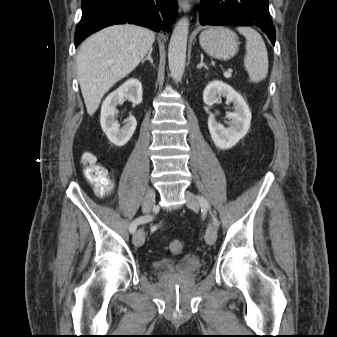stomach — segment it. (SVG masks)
<instances>
[{"label": "stomach", "mask_w": 337, "mask_h": 337, "mask_svg": "<svg viewBox=\"0 0 337 337\" xmlns=\"http://www.w3.org/2000/svg\"><path fill=\"white\" fill-rule=\"evenodd\" d=\"M200 46L211 57L228 60L238 52V37L228 28L210 27L199 37Z\"/></svg>", "instance_id": "obj_1"}]
</instances>
